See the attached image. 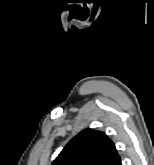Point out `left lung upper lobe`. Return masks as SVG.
<instances>
[{"label": "left lung upper lobe", "instance_id": "5c2ea615", "mask_svg": "<svg viewBox=\"0 0 154 165\" xmlns=\"http://www.w3.org/2000/svg\"><path fill=\"white\" fill-rule=\"evenodd\" d=\"M113 142L102 132L85 129L64 147L52 165H119Z\"/></svg>", "mask_w": 154, "mask_h": 165}]
</instances>
